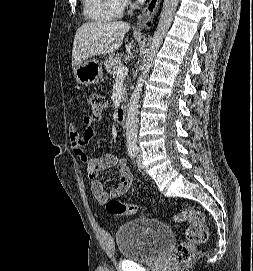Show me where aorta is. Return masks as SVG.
Segmentation results:
<instances>
[{"mask_svg": "<svg viewBox=\"0 0 253 271\" xmlns=\"http://www.w3.org/2000/svg\"><path fill=\"white\" fill-rule=\"evenodd\" d=\"M178 3L179 0H164L163 2L159 23L157 25L156 31L154 32L150 48L147 52L146 64L143 66L142 73L138 78L137 84L127 104V117L125 128H126V139L128 141H135L137 139L139 101L143 85L145 83V79L148 75V72L152 67L153 59L156 53L158 52L165 35L167 34L169 28L171 27Z\"/></svg>", "mask_w": 253, "mask_h": 271, "instance_id": "762f6f07", "label": "aorta"}]
</instances>
